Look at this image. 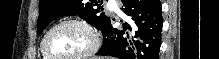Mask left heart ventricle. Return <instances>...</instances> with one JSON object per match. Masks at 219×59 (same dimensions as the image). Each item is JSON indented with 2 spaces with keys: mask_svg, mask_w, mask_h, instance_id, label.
Segmentation results:
<instances>
[{
  "mask_svg": "<svg viewBox=\"0 0 219 59\" xmlns=\"http://www.w3.org/2000/svg\"><path fill=\"white\" fill-rule=\"evenodd\" d=\"M91 38L87 31L76 24L63 25L52 32L47 41L49 51L58 57H69L88 49Z\"/></svg>",
  "mask_w": 219,
  "mask_h": 59,
  "instance_id": "obj_1",
  "label": "left heart ventricle"
}]
</instances>
